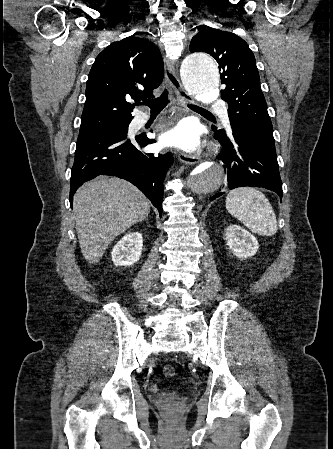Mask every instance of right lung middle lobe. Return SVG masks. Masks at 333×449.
Listing matches in <instances>:
<instances>
[{
    "label": "right lung middle lobe",
    "instance_id": "dd1d6c3e",
    "mask_svg": "<svg viewBox=\"0 0 333 449\" xmlns=\"http://www.w3.org/2000/svg\"><path fill=\"white\" fill-rule=\"evenodd\" d=\"M129 123L130 122L112 123V124L93 126L89 128H82L79 131V136L94 135L109 132H127Z\"/></svg>",
    "mask_w": 333,
    "mask_h": 449
}]
</instances>
